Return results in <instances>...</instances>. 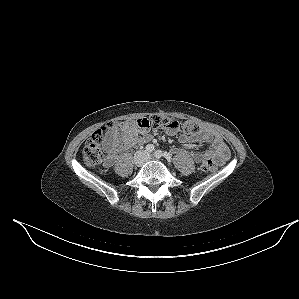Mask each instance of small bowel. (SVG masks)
<instances>
[{
    "label": "small bowel",
    "instance_id": "1",
    "mask_svg": "<svg viewBox=\"0 0 299 299\" xmlns=\"http://www.w3.org/2000/svg\"><path fill=\"white\" fill-rule=\"evenodd\" d=\"M126 122L119 123V128L114 137L106 144L107 156L104 160L105 167H111L116 159V154L125 151L139 143L151 140V135L147 130H138L130 127ZM174 134L175 132H169ZM183 147H188L192 142H206L211 144V148L205 152H191V157L200 166L205 162L222 165L230 157V150L224 139L216 132L203 128L196 135H181L179 138ZM181 150L175 149L174 153Z\"/></svg>",
    "mask_w": 299,
    "mask_h": 299
}]
</instances>
